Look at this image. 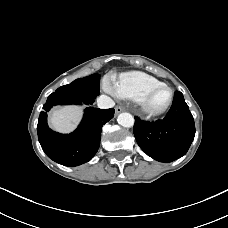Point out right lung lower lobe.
Listing matches in <instances>:
<instances>
[{
    "label": "right lung lower lobe",
    "mask_w": 228,
    "mask_h": 228,
    "mask_svg": "<svg viewBox=\"0 0 228 228\" xmlns=\"http://www.w3.org/2000/svg\"><path fill=\"white\" fill-rule=\"evenodd\" d=\"M82 103L76 98L52 93L39 116L37 132L43 151L53 161L65 166L81 165L94 157L100 146L102 126L114 116V109L90 106L85 109L83 120L74 132L63 135L48 127L47 112L54 105Z\"/></svg>",
    "instance_id": "98d812e1"
}]
</instances>
